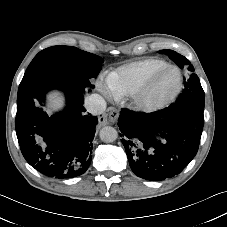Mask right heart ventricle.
I'll return each mask as SVG.
<instances>
[{"mask_svg":"<svg viewBox=\"0 0 227 227\" xmlns=\"http://www.w3.org/2000/svg\"><path fill=\"white\" fill-rule=\"evenodd\" d=\"M167 65L166 61L156 58L130 62L111 72L106 78V83L110 92L117 98L132 95L154 73Z\"/></svg>","mask_w":227,"mask_h":227,"instance_id":"obj_1","label":"right heart ventricle"}]
</instances>
